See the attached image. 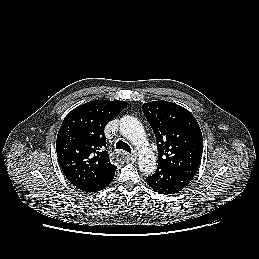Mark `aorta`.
Here are the masks:
<instances>
[{
    "label": "aorta",
    "instance_id": "aorta-1",
    "mask_svg": "<svg viewBox=\"0 0 259 259\" xmlns=\"http://www.w3.org/2000/svg\"><path fill=\"white\" fill-rule=\"evenodd\" d=\"M121 134L134 145L143 147L138 158L139 169L145 174H153L156 170L154 153L146 145V133L142 123L133 116H124L120 120Z\"/></svg>",
    "mask_w": 259,
    "mask_h": 259
}]
</instances>
